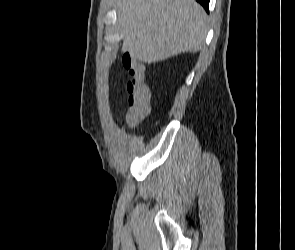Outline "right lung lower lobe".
<instances>
[{"instance_id":"98d812e1","label":"right lung lower lobe","mask_w":295,"mask_h":250,"mask_svg":"<svg viewBox=\"0 0 295 250\" xmlns=\"http://www.w3.org/2000/svg\"><path fill=\"white\" fill-rule=\"evenodd\" d=\"M196 1L199 2L206 9V11H208L210 0H196Z\"/></svg>"}]
</instances>
